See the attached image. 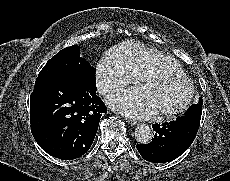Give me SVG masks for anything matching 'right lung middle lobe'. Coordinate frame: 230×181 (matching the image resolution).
I'll return each mask as SVG.
<instances>
[{"label":"right lung middle lobe","instance_id":"1","mask_svg":"<svg viewBox=\"0 0 230 181\" xmlns=\"http://www.w3.org/2000/svg\"><path fill=\"white\" fill-rule=\"evenodd\" d=\"M60 77H73L96 85L95 68L80 57V48L77 45L64 48L53 56L40 71L36 81Z\"/></svg>","mask_w":230,"mask_h":181}]
</instances>
